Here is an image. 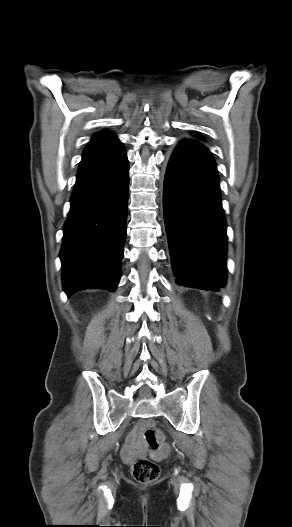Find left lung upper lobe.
I'll return each instance as SVG.
<instances>
[{
    "label": "left lung upper lobe",
    "instance_id": "obj_1",
    "mask_svg": "<svg viewBox=\"0 0 292 527\" xmlns=\"http://www.w3.org/2000/svg\"><path fill=\"white\" fill-rule=\"evenodd\" d=\"M193 134H194V135H197L196 133H193ZM198 138H200V139L203 140V138H202L200 135H198Z\"/></svg>",
    "mask_w": 292,
    "mask_h": 527
}]
</instances>
